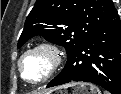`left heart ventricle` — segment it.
Returning a JSON list of instances; mask_svg holds the SVG:
<instances>
[{
	"label": "left heart ventricle",
	"instance_id": "obj_1",
	"mask_svg": "<svg viewBox=\"0 0 121 94\" xmlns=\"http://www.w3.org/2000/svg\"><path fill=\"white\" fill-rule=\"evenodd\" d=\"M22 68L26 78L36 81L46 73L48 69V60L45 55L35 53L24 59Z\"/></svg>",
	"mask_w": 121,
	"mask_h": 94
}]
</instances>
